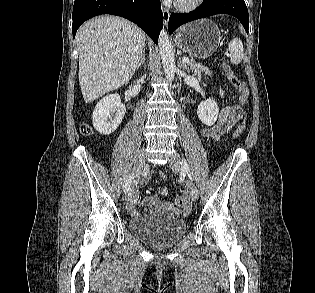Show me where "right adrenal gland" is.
Returning <instances> with one entry per match:
<instances>
[{
	"label": "right adrenal gland",
	"mask_w": 315,
	"mask_h": 293,
	"mask_svg": "<svg viewBox=\"0 0 315 293\" xmlns=\"http://www.w3.org/2000/svg\"><path fill=\"white\" fill-rule=\"evenodd\" d=\"M145 60H146V56H145V50H144V51H143V54H142V57H141V60H140V62L138 63L136 69H139L142 65H144Z\"/></svg>",
	"instance_id": "2a0ac1e0"
}]
</instances>
